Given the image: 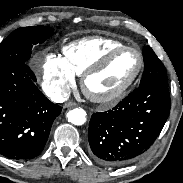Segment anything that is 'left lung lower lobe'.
Returning <instances> with one entry per match:
<instances>
[{
    "mask_svg": "<svg viewBox=\"0 0 183 183\" xmlns=\"http://www.w3.org/2000/svg\"><path fill=\"white\" fill-rule=\"evenodd\" d=\"M168 85L139 86L112 110L96 112L89 124L92 157L106 166L129 163L153 144L170 111Z\"/></svg>",
    "mask_w": 183,
    "mask_h": 183,
    "instance_id": "obj_1",
    "label": "left lung lower lobe"
}]
</instances>
